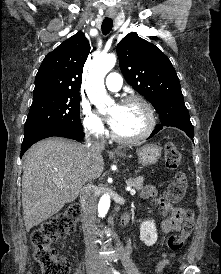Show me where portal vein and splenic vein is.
<instances>
[{"mask_svg":"<svg viewBox=\"0 0 221 274\" xmlns=\"http://www.w3.org/2000/svg\"><path fill=\"white\" fill-rule=\"evenodd\" d=\"M127 190L130 191L131 195H135L136 193L135 189H131L130 187H128Z\"/></svg>","mask_w":221,"mask_h":274,"instance_id":"obj_1","label":"portal vein and splenic vein"}]
</instances>
